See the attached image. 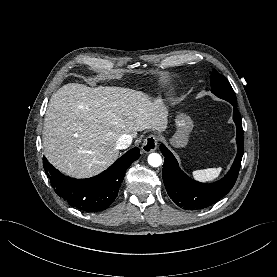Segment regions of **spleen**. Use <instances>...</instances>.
Returning <instances> with one entry per match:
<instances>
[{
	"mask_svg": "<svg viewBox=\"0 0 277 277\" xmlns=\"http://www.w3.org/2000/svg\"><path fill=\"white\" fill-rule=\"evenodd\" d=\"M222 171V168H207L202 170H196L192 173V176L202 182L213 181L218 178Z\"/></svg>",
	"mask_w": 277,
	"mask_h": 277,
	"instance_id": "1",
	"label": "spleen"
}]
</instances>
